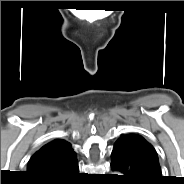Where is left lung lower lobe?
<instances>
[{"label": "left lung lower lobe", "instance_id": "obj_1", "mask_svg": "<svg viewBox=\"0 0 184 184\" xmlns=\"http://www.w3.org/2000/svg\"><path fill=\"white\" fill-rule=\"evenodd\" d=\"M111 168L123 174L116 176L124 184H159L163 180L161 169L153 160L122 143L114 145Z\"/></svg>", "mask_w": 184, "mask_h": 184}]
</instances>
